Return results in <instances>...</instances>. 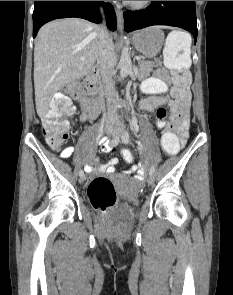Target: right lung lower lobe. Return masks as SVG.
Wrapping results in <instances>:
<instances>
[{
  "mask_svg": "<svg viewBox=\"0 0 233 295\" xmlns=\"http://www.w3.org/2000/svg\"><path fill=\"white\" fill-rule=\"evenodd\" d=\"M101 4L105 9L108 28L115 31L117 28L116 14L113 6L109 3L103 1H35L33 37L36 36L43 24L57 18L80 17L100 23L99 6Z\"/></svg>",
  "mask_w": 233,
  "mask_h": 295,
  "instance_id": "98d812e1",
  "label": "right lung lower lobe"
}]
</instances>
